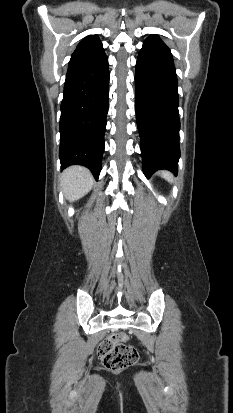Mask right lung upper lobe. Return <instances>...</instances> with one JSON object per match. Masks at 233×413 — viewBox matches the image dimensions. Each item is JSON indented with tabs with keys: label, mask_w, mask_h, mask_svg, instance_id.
Wrapping results in <instances>:
<instances>
[{
	"label": "right lung upper lobe",
	"mask_w": 233,
	"mask_h": 413,
	"mask_svg": "<svg viewBox=\"0 0 233 413\" xmlns=\"http://www.w3.org/2000/svg\"><path fill=\"white\" fill-rule=\"evenodd\" d=\"M98 42H99V38L96 35H88L78 44L77 49L94 44V43H98Z\"/></svg>",
	"instance_id": "1"
}]
</instances>
